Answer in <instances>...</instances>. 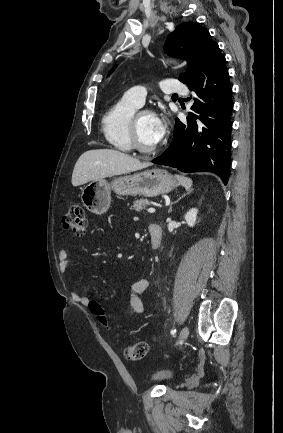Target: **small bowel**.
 <instances>
[{
    "instance_id": "1",
    "label": "small bowel",
    "mask_w": 283,
    "mask_h": 433,
    "mask_svg": "<svg viewBox=\"0 0 283 433\" xmlns=\"http://www.w3.org/2000/svg\"><path fill=\"white\" fill-rule=\"evenodd\" d=\"M59 267L63 274L68 271L69 253L67 249H60L58 251ZM149 280L146 278L135 281L130 287L129 304L134 314H140L144 311V303L141 294L144 293L149 287ZM72 299L78 304L89 305L90 299L83 293L78 291L72 292Z\"/></svg>"
}]
</instances>
